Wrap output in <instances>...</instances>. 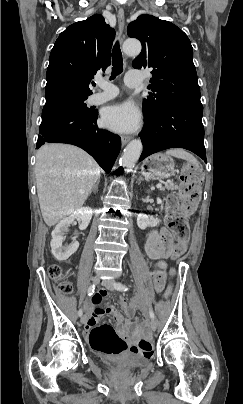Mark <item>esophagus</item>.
Here are the masks:
<instances>
[{
  "instance_id": "esophagus-1",
  "label": "esophagus",
  "mask_w": 243,
  "mask_h": 404,
  "mask_svg": "<svg viewBox=\"0 0 243 404\" xmlns=\"http://www.w3.org/2000/svg\"><path fill=\"white\" fill-rule=\"evenodd\" d=\"M125 27V13L123 8H119L118 10V28H119V35H120V42L123 41V32ZM130 137H121L122 145L127 144L129 142Z\"/></svg>"
}]
</instances>
